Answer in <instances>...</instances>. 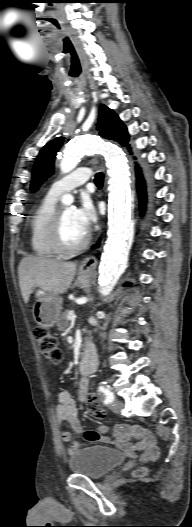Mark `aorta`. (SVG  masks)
I'll return each mask as SVG.
<instances>
[{
    "label": "aorta",
    "mask_w": 192,
    "mask_h": 527,
    "mask_svg": "<svg viewBox=\"0 0 192 527\" xmlns=\"http://www.w3.org/2000/svg\"><path fill=\"white\" fill-rule=\"evenodd\" d=\"M103 152L109 167V230L100 263V285L108 295L127 266L133 238L131 223V179L127 159L122 150L94 136H83L68 143L60 161L62 173L71 172L85 153ZM64 202H72L66 195Z\"/></svg>",
    "instance_id": "aorta-1"
}]
</instances>
